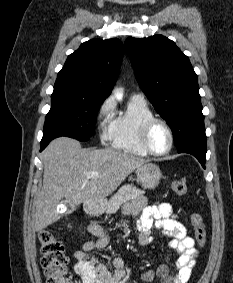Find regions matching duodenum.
I'll return each instance as SVG.
<instances>
[{"label": "duodenum", "mask_w": 233, "mask_h": 283, "mask_svg": "<svg viewBox=\"0 0 233 283\" xmlns=\"http://www.w3.org/2000/svg\"><path fill=\"white\" fill-rule=\"evenodd\" d=\"M105 208V203L103 201H92L89 202L86 206V211L89 214L95 215L101 213Z\"/></svg>", "instance_id": "1"}]
</instances>
